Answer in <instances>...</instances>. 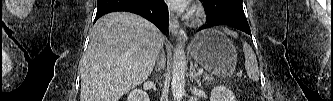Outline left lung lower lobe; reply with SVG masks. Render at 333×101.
I'll return each instance as SVG.
<instances>
[{"mask_svg": "<svg viewBox=\"0 0 333 101\" xmlns=\"http://www.w3.org/2000/svg\"><path fill=\"white\" fill-rule=\"evenodd\" d=\"M208 15L207 24L199 30L216 25H227L251 35L242 0H202Z\"/></svg>", "mask_w": 333, "mask_h": 101, "instance_id": "0a47b994", "label": "left lung lower lobe"}]
</instances>
